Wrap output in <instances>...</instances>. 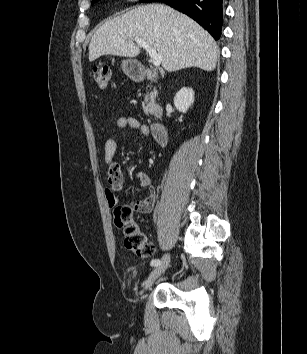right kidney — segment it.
<instances>
[{"instance_id": "right-kidney-1", "label": "right kidney", "mask_w": 307, "mask_h": 354, "mask_svg": "<svg viewBox=\"0 0 307 354\" xmlns=\"http://www.w3.org/2000/svg\"><path fill=\"white\" fill-rule=\"evenodd\" d=\"M193 102L194 91L191 88H181L174 97V105L182 113H186Z\"/></svg>"}]
</instances>
